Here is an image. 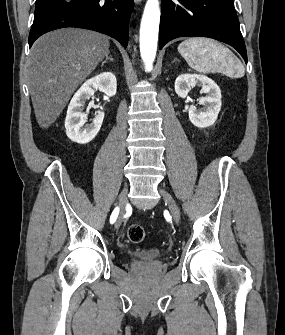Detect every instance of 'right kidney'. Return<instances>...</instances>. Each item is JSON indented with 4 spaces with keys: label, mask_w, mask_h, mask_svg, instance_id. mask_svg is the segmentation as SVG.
<instances>
[{
    "label": "right kidney",
    "mask_w": 285,
    "mask_h": 335,
    "mask_svg": "<svg viewBox=\"0 0 285 335\" xmlns=\"http://www.w3.org/2000/svg\"><path fill=\"white\" fill-rule=\"evenodd\" d=\"M95 88H98L100 92H104L110 98L115 96L117 90L116 76L111 74V72H103V74L84 82L78 92L74 94L68 106L65 128L68 138L72 142H77V144H88V142H91L97 136L104 120L105 114L99 110V112H96L92 124L84 126L87 114L82 112V106L85 100H89L93 96Z\"/></svg>",
    "instance_id": "ca27d5eb"
}]
</instances>
